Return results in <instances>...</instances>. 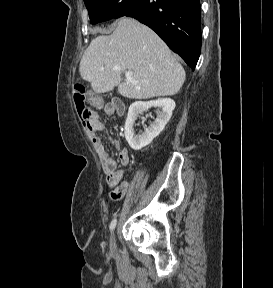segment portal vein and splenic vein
<instances>
[{
	"label": "portal vein and splenic vein",
	"instance_id": "portal-vein-and-splenic-vein-1",
	"mask_svg": "<svg viewBox=\"0 0 273 288\" xmlns=\"http://www.w3.org/2000/svg\"><path fill=\"white\" fill-rule=\"evenodd\" d=\"M125 77H126V80H127L128 82L136 83V82L133 80V72H132V71H126V72H125Z\"/></svg>",
	"mask_w": 273,
	"mask_h": 288
}]
</instances>
